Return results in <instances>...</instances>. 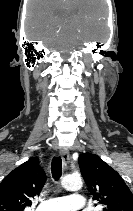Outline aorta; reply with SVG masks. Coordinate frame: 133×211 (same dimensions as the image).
<instances>
[{"mask_svg":"<svg viewBox=\"0 0 133 211\" xmlns=\"http://www.w3.org/2000/svg\"><path fill=\"white\" fill-rule=\"evenodd\" d=\"M61 185L66 190L78 191L82 188L83 182L80 176L67 175L62 179Z\"/></svg>","mask_w":133,"mask_h":211,"instance_id":"aorta-1","label":"aorta"}]
</instances>
